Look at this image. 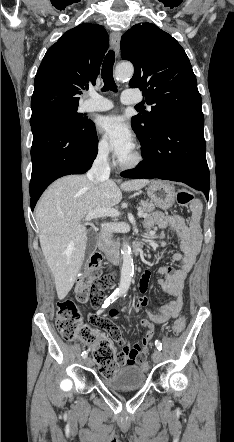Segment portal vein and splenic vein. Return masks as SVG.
<instances>
[{
    "label": "portal vein and splenic vein",
    "mask_w": 234,
    "mask_h": 442,
    "mask_svg": "<svg viewBox=\"0 0 234 442\" xmlns=\"http://www.w3.org/2000/svg\"><path fill=\"white\" fill-rule=\"evenodd\" d=\"M120 215V212L115 208H96L93 211H91L86 217L85 221L88 222L94 218L98 217H117ZM146 214L142 211H138V217L143 218Z\"/></svg>",
    "instance_id": "1"
}]
</instances>
